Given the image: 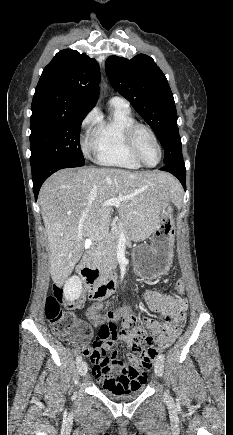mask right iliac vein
<instances>
[{
  "label": "right iliac vein",
  "mask_w": 233,
  "mask_h": 435,
  "mask_svg": "<svg viewBox=\"0 0 233 435\" xmlns=\"http://www.w3.org/2000/svg\"><path fill=\"white\" fill-rule=\"evenodd\" d=\"M78 372L81 376H85L87 373V364L86 362L82 361L78 364Z\"/></svg>",
  "instance_id": "obj_1"
}]
</instances>
